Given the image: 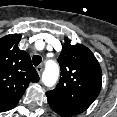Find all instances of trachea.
<instances>
[{
  "label": "trachea",
  "instance_id": "3493384b",
  "mask_svg": "<svg viewBox=\"0 0 117 117\" xmlns=\"http://www.w3.org/2000/svg\"><path fill=\"white\" fill-rule=\"evenodd\" d=\"M41 61H42V58L39 55H34L32 58V62L35 66H38L41 63Z\"/></svg>",
  "mask_w": 117,
  "mask_h": 117
}]
</instances>
